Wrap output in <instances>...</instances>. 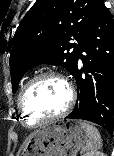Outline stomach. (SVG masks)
<instances>
[{
	"label": "stomach",
	"instance_id": "obj_1",
	"mask_svg": "<svg viewBox=\"0 0 114 156\" xmlns=\"http://www.w3.org/2000/svg\"><path fill=\"white\" fill-rule=\"evenodd\" d=\"M87 140L80 120L50 123L33 133L20 156H76Z\"/></svg>",
	"mask_w": 114,
	"mask_h": 156
}]
</instances>
